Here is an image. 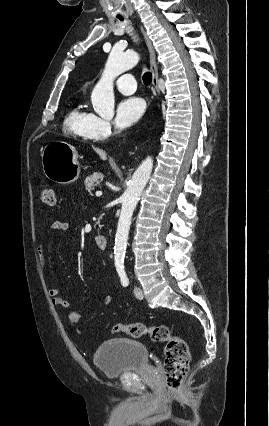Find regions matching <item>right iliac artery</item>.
I'll use <instances>...</instances> for the list:
<instances>
[{
	"mask_svg": "<svg viewBox=\"0 0 269 426\" xmlns=\"http://www.w3.org/2000/svg\"><path fill=\"white\" fill-rule=\"evenodd\" d=\"M117 272H118V274L120 276L122 285L124 287L128 286L129 280H128L127 276H126V273H125L124 269L122 267H117Z\"/></svg>",
	"mask_w": 269,
	"mask_h": 426,
	"instance_id": "right-iliac-artery-1",
	"label": "right iliac artery"
}]
</instances>
